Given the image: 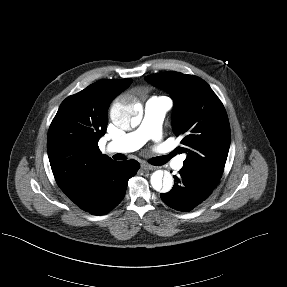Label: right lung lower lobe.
Wrapping results in <instances>:
<instances>
[{"instance_id":"1","label":"right lung lower lobe","mask_w":287,"mask_h":287,"mask_svg":"<svg viewBox=\"0 0 287 287\" xmlns=\"http://www.w3.org/2000/svg\"><path fill=\"white\" fill-rule=\"evenodd\" d=\"M135 160L113 161L98 169L72 201L93 215L111 211L124 198L129 178L139 169Z\"/></svg>"}]
</instances>
